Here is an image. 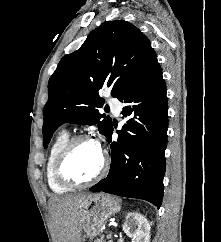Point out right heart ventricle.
Returning a JSON list of instances; mask_svg holds the SVG:
<instances>
[{
  "mask_svg": "<svg viewBox=\"0 0 221 242\" xmlns=\"http://www.w3.org/2000/svg\"><path fill=\"white\" fill-rule=\"evenodd\" d=\"M68 140H69L68 133L65 131H62L55 137V139L51 143L48 150V155H47L46 165H45V174H46L47 184L51 189V191H53L54 193H66L72 189L71 187L64 186L61 183H59L54 174V165H55L56 159Z\"/></svg>",
  "mask_w": 221,
  "mask_h": 242,
  "instance_id": "1",
  "label": "right heart ventricle"
}]
</instances>
